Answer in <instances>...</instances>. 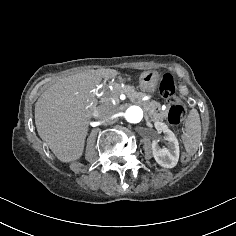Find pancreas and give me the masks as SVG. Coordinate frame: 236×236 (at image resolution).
I'll use <instances>...</instances> for the list:
<instances>
[{"label": "pancreas", "instance_id": "1", "mask_svg": "<svg viewBox=\"0 0 236 236\" xmlns=\"http://www.w3.org/2000/svg\"><path fill=\"white\" fill-rule=\"evenodd\" d=\"M113 90L117 96L120 94H125L133 103L141 104L154 121L157 119H164L168 115L167 111H160L161 105L156 101L140 102V99L144 97L145 94L136 91L132 86H125L124 88H121L119 84H114Z\"/></svg>", "mask_w": 236, "mask_h": 236}]
</instances>
